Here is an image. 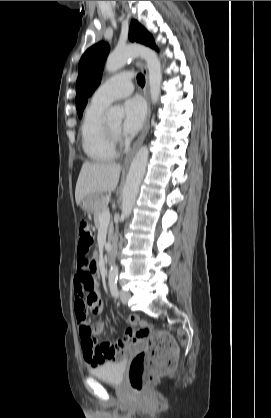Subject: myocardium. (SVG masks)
Segmentation results:
<instances>
[{
    "label": "myocardium",
    "mask_w": 271,
    "mask_h": 418,
    "mask_svg": "<svg viewBox=\"0 0 271 418\" xmlns=\"http://www.w3.org/2000/svg\"><path fill=\"white\" fill-rule=\"evenodd\" d=\"M105 134H106L107 139L113 145H116V143L119 140V132L113 131L107 124H105Z\"/></svg>",
    "instance_id": "myocardium-1"
}]
</instances>
